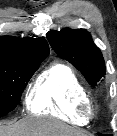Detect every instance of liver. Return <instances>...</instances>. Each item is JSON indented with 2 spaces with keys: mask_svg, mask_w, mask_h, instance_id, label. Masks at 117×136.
I'll return each instance as SVG.
<instances>
[{
  "mask_svg": "<svg viewBox=\"0 0 117 136\" xmlns=\"http://www.w3.org/2000/svg\"><path fill=\"white\" fill-rule=\"evenodd\" d=\"M0 136H91L62 122L45 118H27L0 124Z\"/></svg>",
  "mask_w": 117,
  "mask_h": 136,
  "instance_id": "1",
  "label": "liver"
}]
</instances>
